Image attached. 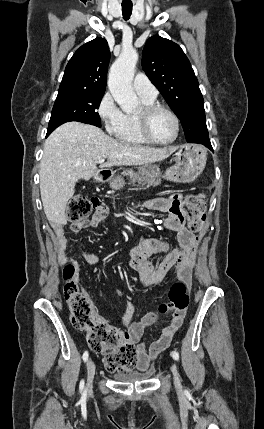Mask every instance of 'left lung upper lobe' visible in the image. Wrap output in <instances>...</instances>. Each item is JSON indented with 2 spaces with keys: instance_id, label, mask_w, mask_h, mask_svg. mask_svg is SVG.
Returning <instances> with one entry per match:
<instances>
[{
  "instance_id": "left-lung-upper-lobe-1",
  "label": "left lung upper lobe",
  "mask_w": 264,
  "mask_h": 429,
  "mask_svg": "<svg viewBox=\"0 0 264 429\" xmlns=\"http://www.w3.org/2000/svg\"><path fill=\"white\" fill-rule=\"evenodd\" d=\"M142 66L180 119L187 142L210 141L198 80L181 47L160 36L150 37L143 49Z\"/></svg>"
}]
</instances>
